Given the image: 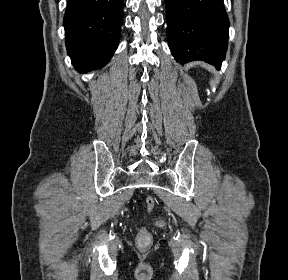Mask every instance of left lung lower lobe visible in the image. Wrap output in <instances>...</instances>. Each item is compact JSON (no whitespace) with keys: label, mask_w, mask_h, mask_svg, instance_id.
<instances>
[{"label":"left lung lower lobe","mask_w":288,"mask_h":280,"mask_svg":"<svg viewBox=\"0 0 288 280\" xmlns=\"http://www.w3.org/2000/svg\"><path fill=\"white\" fill-rule=\"evenodd\" d=\"M172 55L181 63L202 60L220 68L225 58L229 19L223 0H165Z\"/></svg>","instance_id":"0a47b994"}]
</instances>
